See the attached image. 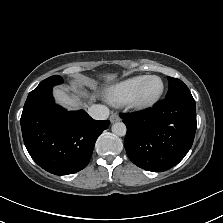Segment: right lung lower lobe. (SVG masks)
Here are the masks:
<instances>
[{
	"label": "right lung lower lobe",
	"instance_id": "1",
	"mask_svg": "<svg viewBox=\"0 0 223 223\" xmlns=\"http://www.w3.org/2000/svg\"><path fill=\"white\" fill-rule=\"evenodd\" d=\"M20 123L32 159L52 174L68 175L85 168L110 121L93 120L83 110L67 112L49 88L27 97Z\"/></svg>",
	"mask_w": 223,
	"mask_h": 223
}]
</instances>
